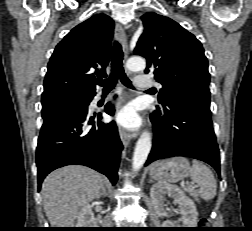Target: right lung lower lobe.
<instances>
[{
    "instance_id": "obj_1",
    "label": "right lung lower lobe",
    "mask_w": 252,
    "mask_h": 231,
    "mask_svg": "<svg viewBox=\"0 0 252 231\" xmlns=\"http://www.w3.org/2000/svg\"><path fill=\"white\" fill-rule=\"evenodd\" d=\"M93 97H87L86 109L80 112H65L44 120L36 152L39 187L51 171L72 164L93 168L116 184L123 146L114 121L104 124L99 114L95 126L94 117L88 116ZM109 105L105 112L114 115Z\"/></svg>"
}]
</instances>
